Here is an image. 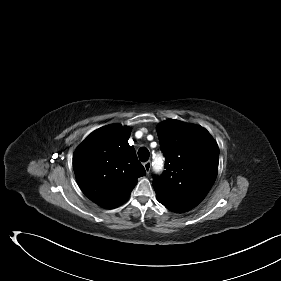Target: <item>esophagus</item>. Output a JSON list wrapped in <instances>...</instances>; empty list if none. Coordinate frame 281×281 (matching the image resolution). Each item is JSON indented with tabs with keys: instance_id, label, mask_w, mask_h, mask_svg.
Listing matches in <instances>:
<instances>
[{
	"instance_id": "34e87169",
	"label": "esophagus",
	"mask_w": 281,
	"mask_h": 281,
	"mask_svg": "<svg viewBox=\"0 0 281 281\" xmlns=\"http://www.w3.org/2000/svg\"><path fill=\"white\" fill-rule=\"evenodd\" d=\"M144 168H145V171L146 173H149L150 172V169H151V162L150 161H147L143 164Z\"/></svg>"
}]
</instances>
